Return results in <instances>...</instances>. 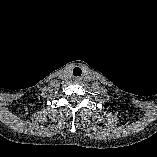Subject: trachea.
Wrapping results in <instances>:
<instances>
[{
    "label": "trachea",
    "instance_id": "trachea-1",
    "mask_svg": "<svg viewBox=\"0 0 157 157\" xmlns=\"http://www.w3.org/2000/svg\"><path fill=\"white\" fill-rule=\"evenodd\" d=\"M81 74H82L81 68L75 67V68L73 69V75H74V76H81Z\"/></svg>",
    "mask_w": 157,
    "mask_h": 157
}]
</instances>
